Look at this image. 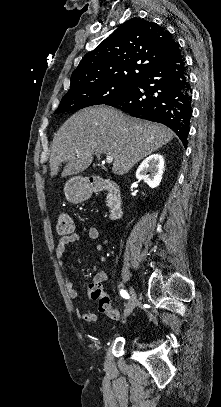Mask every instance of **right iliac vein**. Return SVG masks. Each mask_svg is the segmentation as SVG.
I'll return each mask as SVG.
<instances>
[{"mask_svg":"<svg viewBox=\"0 0 221 407\" xmlns=\"http://www.w3.org/2000/svg\"><path fill=\"white\" fill-rule=\"evenodd\" d=\"M131 298L128 306L125 308V317L128 316L137 304V294L133 287H130Z\"/></svg>","mask_w":221,"mask_h":407,"instance_id":"right-iliac-vein-1","label":"right iliac vein"}]
</instances>
